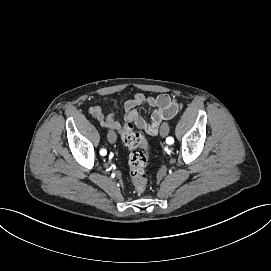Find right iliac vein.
<instances>
[{"label":"right iliac vein","instance_id":"right-iliac-vein-1","mask_svg":"<svg viewBox=\"0 0 271 271\" xmlns=\"http://www.w3.org/2000/svg\"><path fill=\"white\" fill-rule=\"evenodd\" d=\"M108 141L114 143L117 139V135L114 131L110 130L107 134Z\"/></svg>","mask_w":271,"mask_h":271}]
</instances>
